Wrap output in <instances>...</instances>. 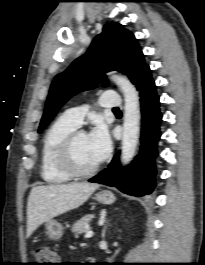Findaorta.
<instances>
[{"label": "aorta", "mask_w": 205, "mask_h": 265, "mask_svg": "<svg viewBox=\"0 0 205 265\" xmlns=\"http://www.w3.org/2000/svg\"><path fill=\"white\" fill-rule=\"evenodd\" d=\"M112 81L124 95V122L122 135L121 161L127 165L135 155L140 130V101L135 86L128 78L112 74Z\"/></svg>", "instance_id": "obj_1"}]
</instances>
